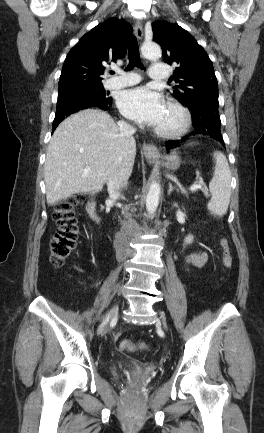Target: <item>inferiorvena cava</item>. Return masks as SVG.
<instances>
[{
  "instance_id": "inferior-vena-cava-1",
  "label": "inferior vena cava",
  "mask_w": 264,
  "mask_h": 433,
  "mask_svg": "<svg viewBox=\"0 0 264 433\" xmlns=\"http://www.w3.org/2000/svg\"><path fill=\"white\" fill-rule=\"evenodd\" d=\"M120 134L124 138L131 137L136 129L126 121L118 122ZM127 180L122 173L111 172L107 177L108 193L112 201H116L120 197V191L127 187Z\"/></svg>"
}]
</instances>
